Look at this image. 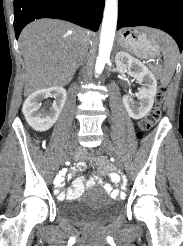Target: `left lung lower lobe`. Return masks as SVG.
<instances>
[{
	"label": "left lung lower lobe",
	"instance_id": "obj_1",
	"mask_svg": "<svg viewBox=\"0 0 183 246\" xmlns=\"http://www.w3.org/2000/svg\"><path fill=\"white\" fill-rule=\"evenodd\" d=\"M148 26L170 34L183 49V0H119L117 29Z\"/></svg>",
	"mask_w": 183,
	"mask_h": 246
}]
</instances>
